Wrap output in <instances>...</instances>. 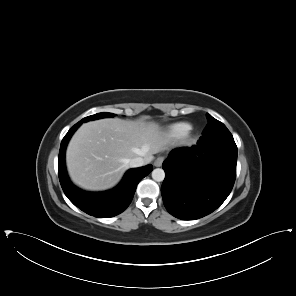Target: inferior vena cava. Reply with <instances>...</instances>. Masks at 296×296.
<instances>
[{"label": "inferior vena cava", "instance_id": "obj_1", "mask_svg": "<svg viewBox=\"0 0 296 296\" xmlns=\"http://www.w3.org/2000/svg\"><path fill=\"white\" fill-rule=\"evenodd\" d=\"M145 164V161L142 157H135L133 159H131L129 165L132 168H136V167H141Z\"/></svg>", "mask_w": 296, "mask_h": 296}]
</instances>
